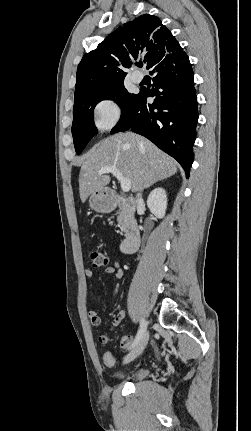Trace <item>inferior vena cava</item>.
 Segmentation results:
<instances>
[{"mask_svg":"<svg viewBox=\"0 0 251 431\" xmlns=\"http://www.w3.org/2000/svg\"><path fill=\"white\" fill-rule=\"evenodd\" d=\"M136 198H137V202H142V194L141 193H138Z\"/></svg>","mask_w":251,"mask_h":431,"instance_id":"602c4592","label":"inferior vena cava"}]
</instances>
